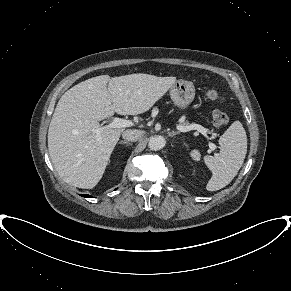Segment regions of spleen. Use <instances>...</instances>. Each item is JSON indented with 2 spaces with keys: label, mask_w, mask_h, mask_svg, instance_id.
<instances>
[{
  "label": "spleen",
  "mask_w": 291,
  "mask_h": 291,
  "mask_svg": "<svg viewBox=\"0 0 291 291\" xmlns=\"http://www.w3.org/2000/svg\"><path fill=\"white\" fill-rule=\"evenodd\" d=\"M219 144L220 153L204 157L205 164L212 171L206 186L208 191H217L227 186L243 165L247 153V136L241 122H233L219 138ZM190 156L195 161L201 157L198 150H192Z\"/></svg>",
  "instance_id": "obj_1"
}]
</instances>
